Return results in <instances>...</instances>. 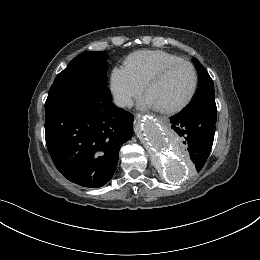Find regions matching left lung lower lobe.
<instances>
[{"label": "left lung lower lobe", "mask_w": 260, "mask_h": 260, "mask_svg": "<svg viewBox=\"0 0 260 260\" xmlns=\"http://www.w3.org/2000/svg\"><path fill=\"white\" fill-rule=\"evenodd\" d=\"M217 109L202 106L182 112L170 118L169 125L179 136L185 150L198 172L204 166L214 140Z\"/></svg>", "instance_id": "obj_1"}]
</instances>
